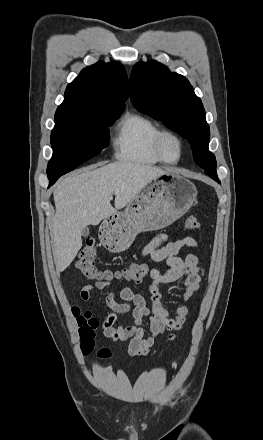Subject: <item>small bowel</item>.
Returning <instances> with one entry per match:
<instances>
[{
  "mask_svg": "<svg viewBox=\"0 0 263 440\" xmlns=\"http://www.w3.org/2000/svg\"><path fill=\"white\" fill-rule=\"evenodd\" d=\"M166 240L167 237L164 235L156 237L142 249L143 256H149L155 263L165 262L168 266L166 272H161L158 268L151 269V283L148 289L151 296L150 302L129 286L120 290L119 295L122 301H118L115 297L117 286L110 285L103 280L86 284L80 291V298L89 302L93 299L95 291L110 288L105 297V304L110 313L103 320L102 332L112 341H128L127 354L132 357H145L150 354L160 335L167 334L168 338H174L175 333L182 329L187 320L189 314L187 306H178L173 309L164 306L160 286L167 283H180L181 298L188 301L193 299L204 276V270L199 266V258L196 255L189 254L184 258L178 256L184 247H197L198 244L194 238L184 237L167 241L161 246ZM130 311L134 323L123 326L118 315ZM144 320H148L150 336H146L142 328Z\"/></svg>",
  "mask_w": 263,
  "mask_h": 440,
  "instance_id": "obj_1",
  "label": "small bowel"
}]
</instances>
